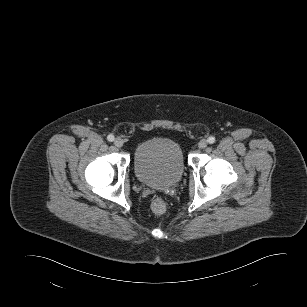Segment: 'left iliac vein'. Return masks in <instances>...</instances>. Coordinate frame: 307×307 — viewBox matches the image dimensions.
<instances>
[{
    "mask_svg": "<svg viewBox=\"0 0 307 307\" xmlns=\"http://www.w3.org/2000/svg\"><path fill=\"white\" fill-rule=\"evenodd\" d=\"M198 147L200 149H204L207 147V141L205 139H202L199 143H198Z\"/></svg>",
    "mask_w": 307,
    "mask_h": 307,
    "instance_id": "4c4485c4",
    "label": "left iliac vein"
}]
</instances>
